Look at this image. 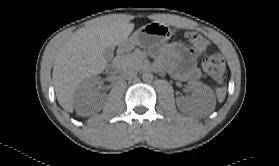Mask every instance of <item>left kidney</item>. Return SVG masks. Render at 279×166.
<instances>
[{"label": "left kidney", "mask_w": 279, "mask_h": 166, "mask_svg": "<svg viewBox=\"0 0 279 166\" xmlns=\"http://www.w3.org/2000/svg\"><path fill=\"white\" fill-rule=\"evenodd\" d=\"M189 88L193 91L190 99L184 97L176 98L177 107L182 112H188L192 108L203 109L213 103L215 96L213 90L200 82H192Z\"/></svg>", "instance_id": "5707ae66"}]
</instances>
